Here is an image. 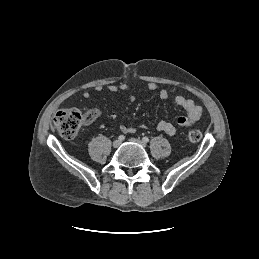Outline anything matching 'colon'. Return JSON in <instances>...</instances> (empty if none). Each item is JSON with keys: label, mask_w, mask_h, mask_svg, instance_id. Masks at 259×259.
Listing matches in <instances>:
<instances>
[{"label": "colon", "mask_w": 259, "mask_h": 259, "mask_svg": "<svg viewBox=\"0 0 259 259\" xmlns=\"http://www.w3.org/2000/svg\"><path fill=\"white\" fill-rule=\"evenodd\" d=\"M91 117L92 113H82L76 108L63 109L55 115L54 125L63 138L72 139L77 135L84 121ZM186 136L192 143L199 142L202 138L200 130L195 128L190 129Z\"/></svg>", "instance_id": "colon-1"}]
</instances>
